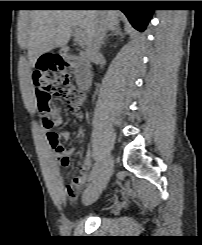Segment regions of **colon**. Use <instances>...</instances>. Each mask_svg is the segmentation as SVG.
<instances>
[{"label": "colon", "mask_w": 202, "mask_h": 245, "mask_svg": "<svg viewBox=\"0 0 202 245\" xmlns=\"http://www.w3.org/2000/svg\"><path fill=\"white\" fill-rule=\"evenodd\" d=\"M70 66L56 54L44 56L35 66L33 82L37 111L42 117L44 126L53 123L51 111L53 96L65 101L70 113L76 114L82 107V101L76 88L72 85L69 75ZM50 146L54 151H61L62 145L57 133L48 136ZM73 190V187H70Z\"/></svg>", "instance_id": "obj_1"}]
</instances>
